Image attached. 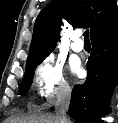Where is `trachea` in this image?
Here are the masks:
<instances>
[{"label": "trachea", "instance_id": "3493384b", "mask_svg": "<svg viewBox=\"0 0 118 123\" xmlns=\"http://www.w3.org/2000/svg\"><path fill=\"white\" fill-rule=\"evenodd\" d=\"M83 36H84V41H85V42H90V40H89V30H86V31L83 33Z\"/></svg>", "mask_w": 118, "mask_h": 123}]
</instances>
